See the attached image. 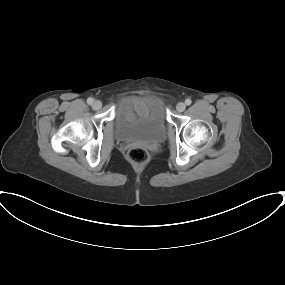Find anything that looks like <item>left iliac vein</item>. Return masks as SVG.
<instances>
[{
    "label": "left iliac vein",
    "instance_id": "obj_1",
    "mask_svg": "<svg viewBox=\"0 0 285 285\" xmlns=\"http://www.w3.org/2000/svg\"><path fill=\"white\" fill-rule=\"evenodd\" d=\"M186 108V105L183 103V102H179L177 105H176V109L178 112H183Z\"/></svg>",
    "mask_w": 285,
    "mask_h": 285
}]
</instances>
